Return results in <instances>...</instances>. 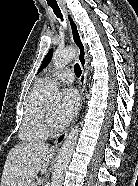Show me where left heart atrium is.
Instances as JSON below:
<instances>
[{"label": "left heart atrium", "mask_w": 138, "mask_h": 186, "mask_svg": "<svg viewBox=\"0 0 138 186\" xmlns=\"http://www.w3.org/2000/svg\"><path fill=\"white\" fill-rule=\"evenodd\" d=\"M79 105V96L75 89L67 88L62 93V102L58 111L55 113L56 122L63 126L66 125L75 115Z\"/></svg>", "instance_id": "left-heart-atrium-1"}]
</instances>
